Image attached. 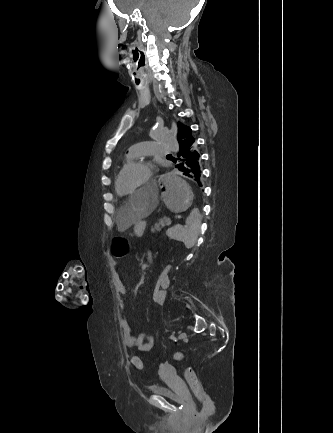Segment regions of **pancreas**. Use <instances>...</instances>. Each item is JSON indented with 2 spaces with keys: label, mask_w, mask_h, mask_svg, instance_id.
<instances>
[{
  "label": "pancreas",
  "mask_w": 333,
  "mask_h": 433,
  "mask_svg": "<svg viewBox=\"0 0 333 433\" xmlns=\"http://www.w3.org/2000/svg\"><path fill=\"white\" fill-rule=\"evenodd\" d=\"M171 223V220L169 217L164 216L163 218L159 219L157 222H155L154 226H152L151 230L152 232H160L162 228H164L166 225H169Z\"/></svg>",
  "instance_id": "obj_1"
}]
</instances>
